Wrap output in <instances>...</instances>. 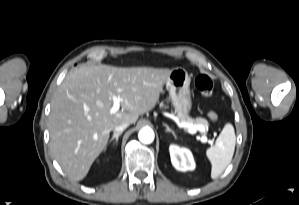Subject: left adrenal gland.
I'll list each match as a JSON object with an SVG mask.
<instances>
[{
    "mask_svg": "<svg viewBox=\"0 0 299 205\" xmlns=\"http://www.w3.org/2000/svg\"><path fill=\"white\" fill-rule=\"evenodd\" d=\"M163 125L166 127V131H167V132H170V133L173 134V136H176L175 133H174V131H173L172 129H170L169 126H168L167 124L164 123Z\"/></svg>",
    "mask_w": 299,
    "mask_h": 205,
    "instance_id": "obj_1",
    "label": "left adrenal gland"
}]
</instances>
